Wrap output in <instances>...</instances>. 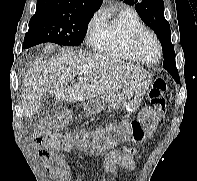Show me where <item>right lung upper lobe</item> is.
<instances>
[{"label": "right lung upper lobe", "instance_id": "cb5924a9", "mask_svg": "<svg viewBox=\"0 0 197 181\" xmlns=\"http://www.w3.org/2000/svg\"><path fill=\"white\" fill-rule=\"evenodd\" d=\"M101 3L102 0H37L36 11L79 15L94 13Z\"/></svg>", "mask_w": 197, "mask_h": 181}]
</instances>
